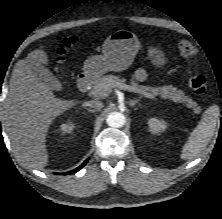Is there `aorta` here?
Segmentation results:
<instances>
[{
  "label": "aorta",
  "instance_id": "aorta-1",
  "mask_svg": "<svg viewBox=\"0 0 222 219\" xmlns=\"http://www.w3.org/2000/svg\"><path fill=\"white\" fill-rule=\"evenodd\" d=\"M106 122L110 127L120 128L124 126L126 120L122 113L112 112L107 116Z\"/></svg>",
  "mask_w": 222,
  "mask_h": 219
}]
</instances>
